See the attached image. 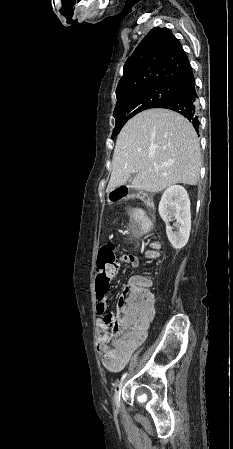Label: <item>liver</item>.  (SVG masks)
<instances>
[{"label": "liver", "instance_id": "liver-1", "mask_svg": "<svg viewBox=\"0 0 233 449\" xmlns=\"http://www.w3.org/2000/svg\"><path fill=\"white\" fill-rule=\"evenodd\" d=\"M106 192L127 183L158 193L177 183L196 185L201 153L192 124L168 109H149L131 118L119 133Z\"/></svg>", "mask_w": 233, "mask_h": 449}]
</instances>
